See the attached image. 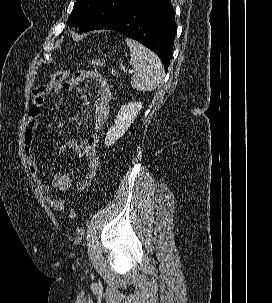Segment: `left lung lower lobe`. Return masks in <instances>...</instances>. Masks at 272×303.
I'll return each instance as SVG.
<instances>
[{"instance_id":"left-lung-lower-lobe-1","label":"left lung lower lobe","mask_w":272,"mask_h":303,"mask_svg":"<svg viewBox=\"0 0 272 303\" xmlns=\"http://www.w3.org/2000/svg\"><path fill=\"white\" fill-rule=\"evenodd\" d=\"M97 29L118 31L137 40L154 51L168 68L176 35L171 0H140L94 30Z\"/></svg>"}]
</instances>
